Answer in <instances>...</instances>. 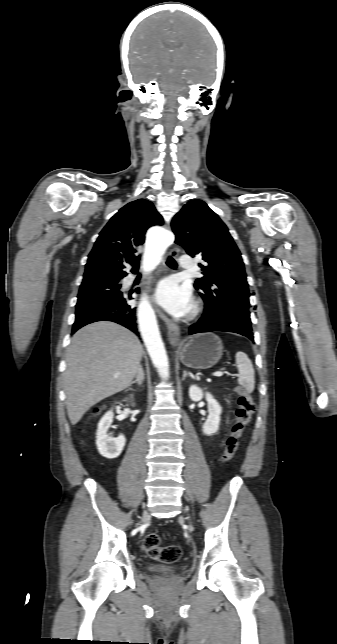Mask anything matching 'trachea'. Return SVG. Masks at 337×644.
Instances as JSON below:
<instances>
[{
  "label": "trachea",
  "instance_id": "obj_1",
  "mask_svg": "<svg viewBox=\"0 0 337 644\" xmlns=\"http://www.w3.org/2000/svg\"><path fill=\"white\" fill-rule=\"evenodd\" d=\"M166 264H167L168 266L172 267V268H176V267H177V263H176V261H175L173 258H171V257H169V258H168V260L166 261Z\"/></svg>",
  "mask_w": 337,
  "mask_h": 644
}]
</instances>
